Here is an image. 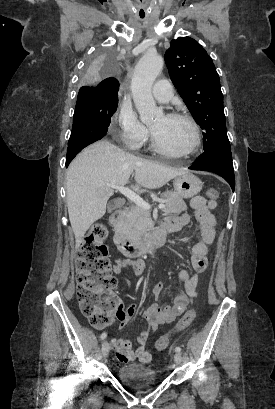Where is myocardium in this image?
<instances>
[{
	"mask_svg": "<svg viewBox=\"0 0 275 409\" xmlns=\"http://www.w3.org/2000/svg\"><path fill=\"white\" fill-rule=\"evenodd\" d=\"M164 116L169 120H183L187 122L192 128L193 140L189 147L183 151L170 150L160 143V141L157 139L153 131L150 129V140L152 148L156 152L170 157H186L191 155L197 149L201 142V132L197 122L191 116L179 112L166 113L164 114Z\"/></svg>",
	"mask_w": 275,
	"mask_h": 409,
	"instance_id": "f54148a6",
	"label": "myocardium"
}]
</instances>
